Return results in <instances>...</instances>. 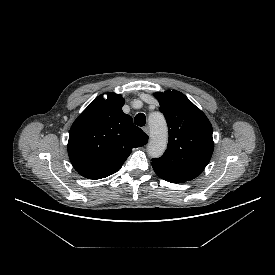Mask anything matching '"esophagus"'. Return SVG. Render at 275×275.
Listing matches in <instances>:
<instances>
[{"label":"esophagus","mask_w":275,"mask_h":275,"mask_svg":"<svg viewBox=\"0 0 275 275\" xmlns=\"http://www.w3.org/2000/svg\"><path fill=\"white\" fill-rule=\"evenodd\" d=\"M143 131H144L146 134H149V127H148V126L143 127Z\"/></svg>","instance_id":"34e87169"}]
</instances>
